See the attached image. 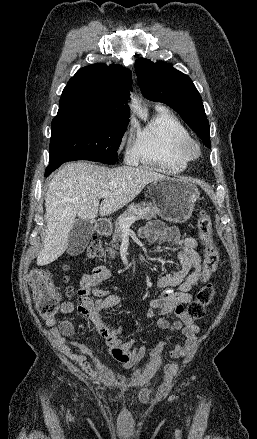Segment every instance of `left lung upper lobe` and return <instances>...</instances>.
Returning <instances> with one entry per match:
<instances>
[{"mask_svg": "<svg viewBox=\"0 0 257 439\" xmlns=\"http://www.w3.org/2000/svg\"><path fill=\"white\" fill-rule=\"evenodd\" d=\"M138 84L144 97L167 104L211 148L210 127L201 96L189 76L165 62L139 58L135 63Z\"/></svg>", "mask_w": 257, "mask_h": 439, "instance_id": "obj_1", "label": "left lung upper lobe"}]
</instances>
